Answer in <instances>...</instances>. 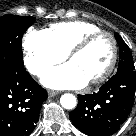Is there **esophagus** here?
I'll return each instance as SVG.
<instances>
[{
  "instance_id": "1",
  "label": "esophagus",
  "mask_w": 136,
  "mask_h": 136,
  "mask_svg": "<svg viewBox=\"0 0 136 136\" xmlns=\"http://www.w3.org/2000/svg\"><path fill=\"white\" fill-rule=\"evenodd\" d=\"M58 94H59V92L54 91V90H49V91H48V96H49V97H54V96H56V95H58Z\"/></svg>"
}]
</instances>
